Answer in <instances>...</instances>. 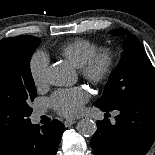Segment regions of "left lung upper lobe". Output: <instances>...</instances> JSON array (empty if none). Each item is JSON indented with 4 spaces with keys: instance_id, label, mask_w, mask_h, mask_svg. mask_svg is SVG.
<instances>
[{
    "instance_id": "5c2ea615",
    "label": "left lung upper lobe",
    "mask_w": 155,
    "mask_h": 155,
    "mask_svg": "<svg viewBox=\"0 0 155 155\" xmlns=\"http://www.w3.org/2000/svg\"><path fill=\"white\" fill-rule=\"evenodd\" d=\"M114 36L126 34L121 59L112 72L104 93L95 106L108 110L143 95L155 94V70L139 40L124 28L112 30Z\"/></svg>"
}]
</instances>
